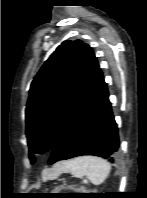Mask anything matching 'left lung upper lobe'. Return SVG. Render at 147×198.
I'll list each match as a JSON object with an SVG mask.
<instances>
[{
	"label": "left lung upper lobe",
	"instance_id": "1",
	"mask_svg": "<svg viewBox=\"0 0 147 198\" xmlns=\"http://www.w3.org/2000/svg\"><path fill=\"white\" fill-rule=\"evenodd\" d=\"M99 65L91 47L66 40L31 83L26 106L29 158L53 149L95 82Z\"/></svg>",
	"mask_w": 147,
	"mask_h": 198
}]
</instances>
